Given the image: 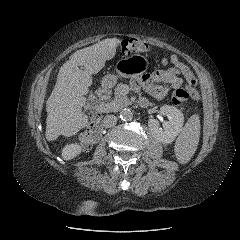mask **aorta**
I'll list each match as a JSON object with an SVG mask.
<instances>
[{"label": "aorta", "instance_id": "obj_1", "mask_svg": "<svg viewBox=\"0 0 240 240\" xmlns=\"http://www.w3.org/2000/svg\"><path fill=\"white\" fill-rule=\"evenodd\" d=\"M119 115L123 121H130L133 118V113L128 108H124V109L120 110Z\"/></svg>", "mask_w": 240, "mask_h": 240}]
</instances>
